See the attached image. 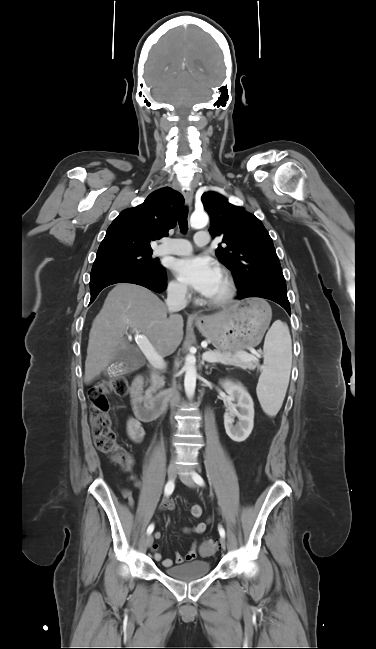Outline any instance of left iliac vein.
<instances>
[{
	"label": "left iliac vein",
	"mask_w": 376,
	"mask_h": 649,
	"mask_svg": "<svg viewBox=\"0 0 376 649\" xmlns=\"http://www.w3.org/2000/svg\"><path fill=\"white\" fill-rule=\"evenodd\" d=\"M180 480H181V481H182L186 486H188V487H190V488L195 487V483H194L193 479H192L189 475H186V474H180ZM220 545H221L222 549H226V540H225L224 537H221V538H220Z\"/></svg>",
	"instance_id": "1"
}]
</instances>
